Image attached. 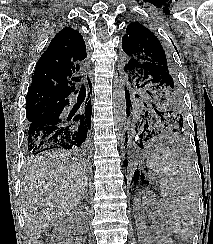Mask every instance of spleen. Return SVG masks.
Returning a JSON list of instances; mask_svg holds the SVG:
<instances>
[{
    "mask_svg": "<svg viewBox=\"0 0 213 244\" xmlns=\"http://www.w3.org/2000/svg\"><path fill=\"white\" fill-rule=\"evenodd\" d=\"M147 166L158 176L170 229L178 238L189 240L197 220L200 191L194 172L171 151L154 153Z\"/></svg>",
    "mask_w": 213,
    "mask_h": 244,
    "instance_id": "spleen-1",
    "label": "spleen"
}]
</instances>
